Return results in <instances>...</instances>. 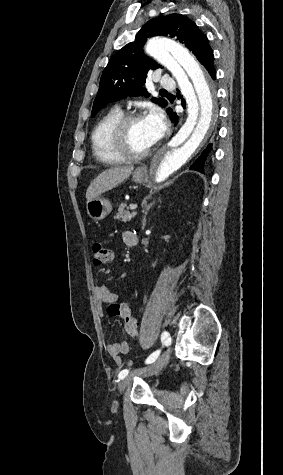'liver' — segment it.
I'll list each match as a JSON object with an SVG mask.
<instances>
[{"instance_id": "6515ba94", "label": "liver", "mask_w": 283, "mask_h": 475, "mask_svg": "<svg viewBox=\"0 0 283 475\" xmlns=\"http://www.w3.org/2000/svg\"><path fill=\"white\" fill-rule=\"evenodd\" d=\"M133 166H117V168H110V170H104L102 174H99L93 182H91L87 192L86 200H94L99 198L104 192L116 188L119 184H122L124 180L129 178Z\"/></svg>"}]
</instances>
